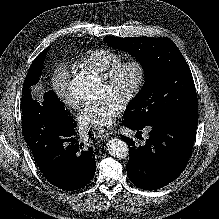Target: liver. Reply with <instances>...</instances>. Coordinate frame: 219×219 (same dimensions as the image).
Wrapping results in <instances>:
<instances>
[{"label":"liver","mask_w":219,"mask_h":219,"mask_svg":"<svg viewBox=\"0 0 219 219\" xmlns=\"http://www.w3.org/2000/svg\"><path fill=\"white\" fill-rule=\"evenodd\" d=\"M33 92L34 94H36V99L39 101V102H42L43 100V90H42V87L40 85L38 86H35L33 88Z\"/></svg>","instance_id":"1"}]
</instances>
